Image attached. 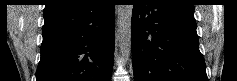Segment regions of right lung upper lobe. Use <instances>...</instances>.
<instances>
[{"label": "right lung upper lobe", "instance_id": "1", "mask_svg": "<svg viewBox=\"0 0 237 81\" xmlns=\"http://www.w3.org/2000/svg\"><path fill=\"white\" fill-rule=\"evenodd\" d=\"M78 1L79 0H48V3L45 5L44 13L69 7Z\"/></svg>", "mask_w": 237, "mask_h": 81}]
</instances>
